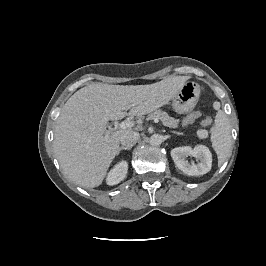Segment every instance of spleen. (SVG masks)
I'll return each mask as SVG.
<instances>
[{
	"instance_id": "3e777b00",
	"label": "spleen",
	"mask_w": 266,
	"mask_h": 266,
	"mask_svg": "<svg viewBox=\"0 0 266 266\" xmlns=\"http://www.w3.org/2000/svg\"><path fill=\"white\" fill-rule=\"evenodd\" d=\"M212 147L218 156V165H222L231 149V129L227 115L219 110L211 129Z\"/></svg>"
}]
</instances>
